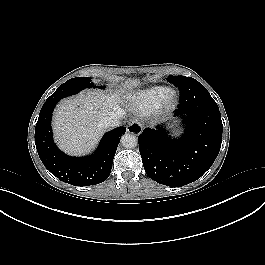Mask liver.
Wrapping results in <instances>:
<instances>
[{
	"mask_svg": "<svg viewBox=\"0 0 265 265\" xmlns=\"http://www.w3.org/2000/svg\"><path fill=\"white\" fill-rule=\"evenodd\" d=\"M138 81H126L127 88L137 86ZM105 94L101 91H90L64 99L53 116V132L60 149L71 155H83L90 152L98 143L103 128L99 122L112 112L122 110L120 95ZM132 92L127 94L131 99Z\"/></svg>",
	"mask_w": 265,
	"mask_h": 265,
	"instance_id": "6515ba94",
	"label": "liver"
}]
</instances>
